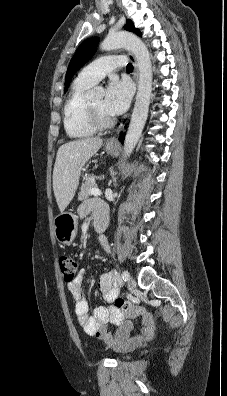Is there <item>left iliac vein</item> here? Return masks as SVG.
Here are the masks:
<instances>
[{
  "instance_id": "obj_1",
  "label": "left iliac vein",
  "mask_w": 227,
  "mask_h": 396,
  "mask_svg": "<svg viewBox=\"0 0 227 396\" xmlns=\"http://www.w3.org/2000/svg\"><path fill=\"white\" fill-rule=\"evenodd\" d=\"M127 286L130 291H134L136 289V282L133 277L129 276L127 280Z\"/></svg>"
}]
</instances>
